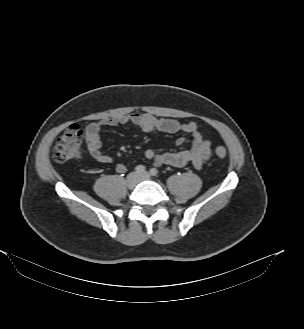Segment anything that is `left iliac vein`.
I'll use <instances>...</instances> for the list:
<instances>
[{
	"label": "left iliac vein",
	"mask_w": 304,
	"mask_h": 329,
	"mask_svg": "<svg viewBox=\"0 0 304 329\" xmlns=\"http://www.w3.org/2000/svg\"><path fill=\"white\" fill-rule=\"evenodd\" d=\"M151 176L148 172H144L138 175V181L150 180Z\"/></svg>",
	"instance_id": "left-iliac-vein-1"
}]
</instances>
